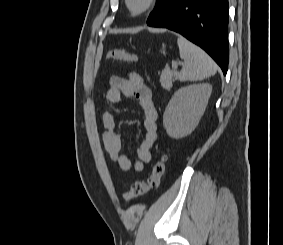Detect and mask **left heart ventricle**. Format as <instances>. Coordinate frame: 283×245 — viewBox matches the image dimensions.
<instances>
[{
  "instance_id": "b2bd125f",
  "label": "left heart ventricle",
  "mask_w": 283,
  "mask_h": 245,
  "mask_svg": "<svg viewBox=\"0 0 283 245\" xmlns=\"http://www.w3.org/2000/svg\"><path fill=\"white\" fill-rule=\"evenodd\" d=\"M144 1L145 0H132V7L137 10L144 4Z\"/></svg>"
}]
</instances>
